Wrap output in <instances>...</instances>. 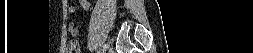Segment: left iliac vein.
<instances>
[{"mask_svg": "<svg viewBox=\"0 0 253 53\" xmlns=\"http://www.w3.org/2000/svg\"><path fill=\"white\" fill-rule=\"evenodd\" d=\"M107 47H108V45H107V44H105V48L103 49V53H105V52H106Z\"/></svg>", "mask_w": 253, "mask_h": 53, "instance_id": "1", "label": "left iliac vein"}]
</instances>
